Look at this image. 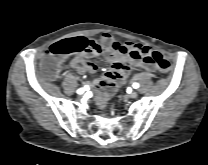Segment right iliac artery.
Listing matches in <instances>:
<instances>
[{
    "instance_id": "right-iliac-artery-1",
    "label": "right iliac artery",
    "mask_w": 208,
    "mask_h": 165,
    "mask_svg": "<svg viewBox=\"0 0 208 165\" xmlns=\"http://www.w3.org/2000/svg\"><path fill=\"white\" fill-rule=\"evenodd\" d=\"M83 92H84V89L83 88H80V89L77 90V93L78 94H82Z\"/></svg>"
}]
</instances>
